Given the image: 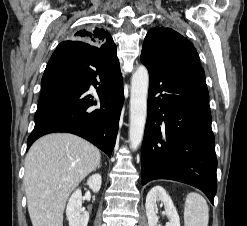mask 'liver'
<instances>
[{
    "label": "liver",
    "mask_w": 247,
    "mask_h": 226,
    "mask_svg": "<svg viewBox=\"0 0 247 226\" xmlns=\"http://www.w3.org/2000/svg\"><path fill=\"white\" fill-rule=\"evenodd\" d=\"M100 151L68 133L38 139L25 159L24 185L33 226H63L70 193L100 164Z\"/></svg>",
    "instance_id": "liver-1"
}]
</instances>
